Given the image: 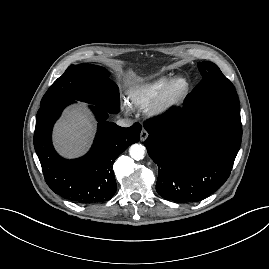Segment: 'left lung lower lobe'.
I'll return each instance as SVG.
<instances>
[{
    "label": "left lung lower lobe",
    "mask_w": 269,
    "mask_h": 269,
    "mask_svg": "<svg viewBox=\"0 0 269 269\" xmlns=\"http://www.w3.org/2000/svg\"><path fill=\"white\" fill-rule=\"evenodd\" d=\"M238 107L179 109L144 124L149 156L157 163L156 190L166 200L195 202L220 188L230 175L242 138Z\"/></svg>",
    "instance_id": "left-lung-lower-lobe-1"
}]
</instances>
